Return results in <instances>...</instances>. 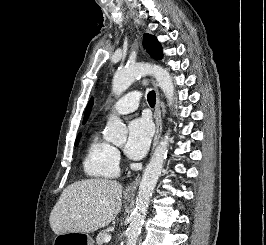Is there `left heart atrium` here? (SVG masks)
Wrapping results in <instances>:
<instances>
[{
	"label": "left heart atrium",
	"instance_id": "1",
	"mask_svg": "<svg viewBox=\"0 0 266 245\" xmlns=\"http://www.w3.org/2000/svg\"><path fill=\"white\" fill-rule=\"evenodd\" d=\"M152 134L153 127L148 119L142 117L131 121L124 146L126 156L133 160L142 158L149 147Z\"/></svg>",
	"mask_w": 266,
	"mask_h": 245
}]
</instances>
